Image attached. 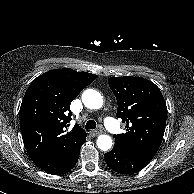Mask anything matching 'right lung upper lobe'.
I'll return each instance as SVG.
<instances>
[{
    "label": "right lung upper lobe",
    "mask_w": 194,
    "mask_h": 194,
    "mask_svg": "<svg viewBox=\"0 0 194 194\" xmlns=\"http://www.w3.org/2000/svg\"><path fill=\"white\" fill-rule=\"evenodd\" d=\"M96 75L64 68L35 78L20 107V129L32 161L47 173L66 164L80 150L86 132L71 120L70 102Z\"/></svg>",
    "instance_id": "cb5924a9"
}]
</instances>
